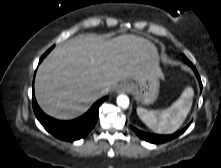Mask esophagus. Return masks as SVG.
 <instances>
[{
    "mask_svg": "<svg viewBox=\"0 0 221 168\" xmlns=\"http://www.w3.org/2000/svg\"><path fill=\"white\" fill-rule=\"evenodd\" d=\"M131 90V87L129 84H122L119 86L117 92L118 93H125V92H129Z\"/></svg>",
    "mask_w": 221,
    "mask_h": 168,
    "instance_id": "obj_1",
    "label": "esophagus"
}]
</instances>
